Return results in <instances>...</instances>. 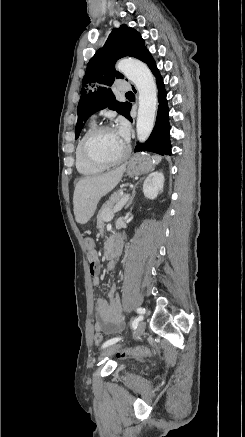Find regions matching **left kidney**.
Here are the masks:
<instances>
[{"mask_svg": "<svg viewBox=\"0 0 245 437\" xmlns=\"http://www.w3.org/2000/svg\"><path fill=\"white\" fill-rule=\"evenodd\" d=\"M164 175L160 172H153L145 179L143 193L146 198L155 199L163 190Z\"/></svg>", "mask_w": 245, "mask_h": 437, "instance_id": "1", "label": "left kidney"}]
</instances>
